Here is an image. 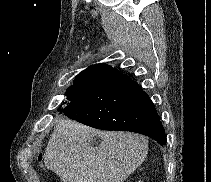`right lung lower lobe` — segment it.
I'll use <instances>...</instances> for the list:
<instances>
[{
	"label": "right lung lower lobe",
	"instance_id": "right-lung-lower-lobe-1",
	"mask_svg": "<svg viewBox=\"0 0 211 182\" xmlns=\"http://www.w3.org/2000/svg\"><path fill=\"white\" fill-rule=\"evenodd\" d=\"M61 109L70 119L102 130L141 133L166 144L165 130L156 108L142 88L106 64L92 65L80 73Z\"/></svg>",
	"mask_w": 211,
	"mask_h": 182
}]
</instances>
